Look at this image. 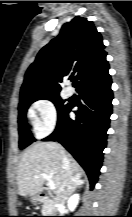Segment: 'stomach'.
<instances>
[{"mask_svg": "<svg viewBox=\"0 0 132 217\" xmlns=\"http://www.w3.org/2000/svg\"><path fill=\"white\" fill-rule=\"evenodd\" d=\"M40 200V197L38 195H34L31 197V202L36 203Z\"/></svg>", "mask_w": 132, "mask_h": 217, "instance_id": "obj_1", "label": "stomach"}]
</instances>
